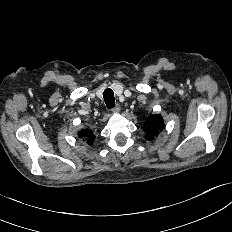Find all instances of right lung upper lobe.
Segmentation results:
<instances>
[{
  "label": "right lung upper lobe",
  "mask_w": 232,
  "mask_h": 232,
  "mask_svg": "<svg viewBox=\"0 0 232 232\" xmlns=\"http://www.w3.org/2000/svg\"><path fill=\"white\" fill-rule=\"evenodd\" d=\"M78 135L81 137V138H84L87 140V143L88 144H91L92 141L94 140V134L90 131V130H86V129H83L81 130Z\"/></svg>",
  "instance_id": "right-lung-upper-lobe-1"
}]
</instances>
